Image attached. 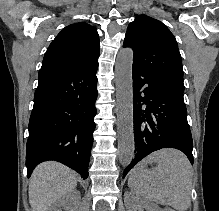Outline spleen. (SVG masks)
Listing matches in <instances>:
<instances>
[{
  "label": "spleen",
  "mask_w": 219,
  "mask_h": 211,
  "mask_svg": "<svg viewBox=\"0 0 219 211\" xmlns=\"http://www.w3.org/2000/svg\"><path fill=\"white\" fill-rule=\"evenodd\" d=\"M158 163L145 169L146 163ZM192 167L179 149H158L130 171L128 187L143 201H156L185 211L191 205Z\"/></svg>",
  "instance_id": "3e777b00"
}]
</instances>
